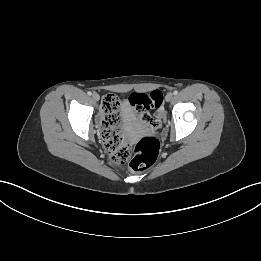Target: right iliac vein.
<instances>
[{
    "mask_svg": "<svg viewBox=\"0 0 261 261\" xmlns=\"http://www.w3.org/2000/svg\"><path fill=\"white\" fill-rule=\"evenodd\" d=\"M92 98H93L95 101H99L100 96H99L98 93H93V94H92Z\"/></svg>",
    "mask_w": 261,
    "mask_h": 261,
    "instance_id": "63e3f726",
    "label": "right iliac vein"
}]
</instances>
